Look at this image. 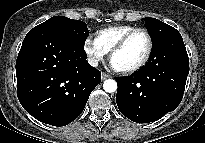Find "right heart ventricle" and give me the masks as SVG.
<instances>
[{
	"instance_id": "e07e8e85",
	"label": "right heart ventricle",
	"mask_w": 205,
	"mask_h": 143,
	"mask_svg": "<svg viewBox=\"0 0 205 143\" xmlns=\"http://www.w3.org/2000/svg\"><path fill=\"white\" fill-rule=\"evenodd\" d=\"M131 25H118L99 30L96 33V40L107 51L110 52L114 45L130 30Z\"/></svg>"
}]
</instances>
